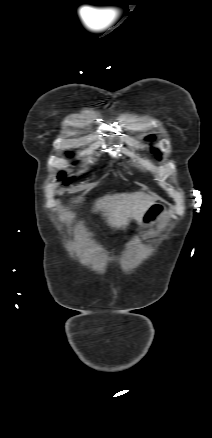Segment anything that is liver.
Returning <instances> with one entry per match:
<instances>
[{
	"instance_id": "6515ba94",
	"label": "liver",
	"mask_w": 212,
	"mask_h": 438,
	"mask_svg": "<svg viewBox=\"0 0 212 438\" xmlns=\"http://www.w3.org/2000/svg\"><path fill=\"white\" fill-rule=\"evenodd\" d=\"M154 202V198L141 192L124 193L99 199L95 208L103 212L111 227L125 228L131 219L140 222L145 210Z\"/></svg>"
}]
</instances>
